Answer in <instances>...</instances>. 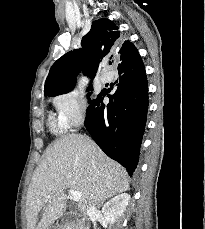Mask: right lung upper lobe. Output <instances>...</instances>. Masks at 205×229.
<instances>
[{"label":"right lung upper lobe","instance_id":"1","mask_svg":"<svg viewBox=\"0 0 205 229\" xmlns=\"http://www.w3.org/2000/svg\"><path fill=\"white\" fill-rule=\"evenodd\" d=\"M120 32L109 19H98L92 23L90 31L82 38L80 49L69 51L51 67L44 86V96L54 97L71 91L76 76L83 70L93 80L100 62L118 49ZM120 69L136 65L141 57L133 43L125 41L118 49Z\"/></svg>","mask_w":205,"mask_h":229}]
</instances>
